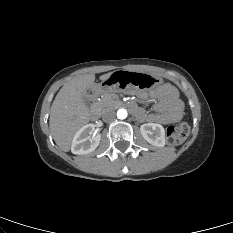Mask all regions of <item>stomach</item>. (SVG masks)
Returning <instances> with one entry per match:
<instances>
[{
  "label": "stomach",
  "mask_w": 233,
  "mask_h": 233,
  "mask_svg": "<svg viewBox=\"0 0 233 233\" xmlns=\"http://www.w3.org/2000/svg\"><path fill=\"white\" fill-rule=\"evenodd\" d=\"M162 83V79L146 72L127 73L126 71H116L100 83V90L104 94H111L116 89H144L148 90L153 86Z\"/></svg>",
  "instance_id": "stomach-1"
}]
</instances>
